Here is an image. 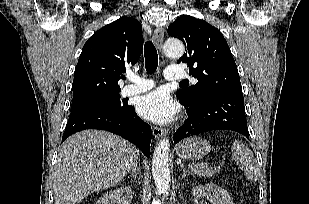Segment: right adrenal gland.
Listing matches in <instances>:
<instances>
[{"mask_svg":"<svg viewBox=\"0 0 309 204\" xmlns=\"http://www.w3.org/2000/svg\"><path fill=\"white\" fill-rule=\"evenodd\" d=\"M132 178L135 180L136 183L140 184L139 171L134 172Z\"/></svg>","mask_w":309,"mask_h":204,"instance_id":"2a0ac1e0","label":"right adrenal gland"}]
</instances>
